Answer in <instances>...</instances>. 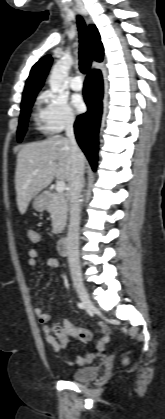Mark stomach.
Listing matches in <instances>:
<instances>
[{"label":"stomach","instance_id":"obj_1","mask_svg":"<svg viewBox=\"0 0 165 419\" xmlns=\"http://www.w3.org/2000/svg\"><path fill=\"white\" fill-rule=\"evenodd\" d=\"M47 206V201L44 195L36 196L33 200V208L38 211L42 212L45 210Z\"/></svg>","mask_w":165,"mask_h":419}]
</instances>
